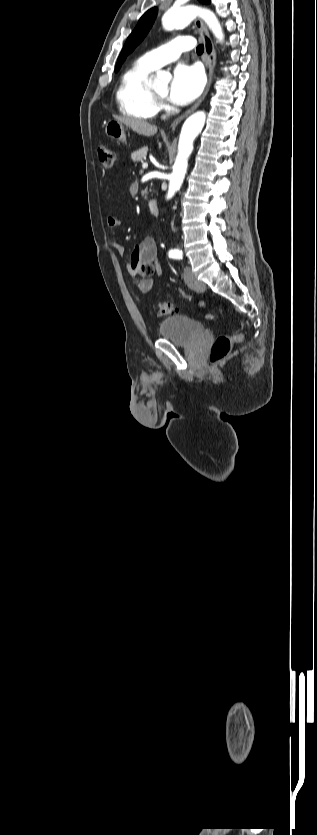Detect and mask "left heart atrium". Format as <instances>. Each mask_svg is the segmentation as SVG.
<instances>
[{"mask_svg": "<svg viewBox=\"0 0 317 835\" xmlns=\"http://www.w3.org/2000/svg\"><path fill=\"white\" fill-rule=\"evenodd\" d=\"M204 75L196 65H178L169 87V99L176 105H186L202 92Z\"/></svg>", "mask_w": 317, "mask_h": 835, "instance_id": "left-heart-atrium-1", "label": "left heart atrium"}]
</instances>
